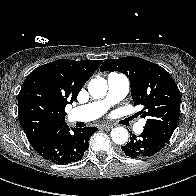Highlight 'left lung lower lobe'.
<instances>
[{
	"mask_svg": "<svg viewBox=\"0 0 196 196\" xmlns=\"http://www.w3.org/2000/svg\"><path fill=\"white\" fill-rule=\"evenodd\" d=\"M167 142L163 141L155 133L144 129L143 133L136 137L133 135L131 140L121 146L122 152L131 158L150 157L160 151Z\"/></svg>",
	"mask_w": 196,
	"mask_h": 196,
	"instance_id": "0a47b994",
	"label": "left lung lower lobe"
}]
</instances>
